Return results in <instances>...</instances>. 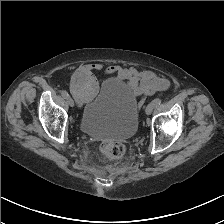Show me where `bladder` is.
I'll use <instances>...</instances> for the list:
<instances>
[{
  "label": "bladder",
  "instance_id": "31cf9c89",
  "mask_svg": "<svg viewBox=\"0 0 224 224\" xmlns=\"http://www.w3.org/2000/svg\"><path fill=\"white\" fill-rule=\"evenodd\" d=\"M138 104L119 82L106 80L83 106L79 121L83 133L94 138H132L138 129Z\"/></svg>",
  "mask_w": 224,
  "mask_h": 224
}]
</instances>
